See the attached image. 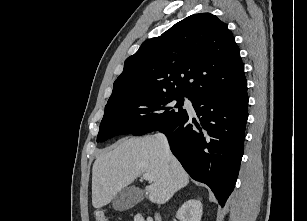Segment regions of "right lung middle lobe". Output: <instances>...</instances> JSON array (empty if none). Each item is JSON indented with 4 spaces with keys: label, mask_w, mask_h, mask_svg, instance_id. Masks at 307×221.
Masks as SVG:
<instances>
[{
    "label": "right lung middle lobe",
    "mask_w": 307,
    "mask_h": 221,
    "mask_svg": "<svg viewBox=\"0 0 307 221\" xmlns=\"http://www.w3.org/2000/svg\"><path fill=\"white\" fill-rule=\"evenodd\" d=\"M184 98L166 93L124 97L105 106L97 142L120 134L144 135L174 124L187 115Z\"/></svg>",
    "instance_id": "right-lung-middle-lobe-1"
}]
</instances>
